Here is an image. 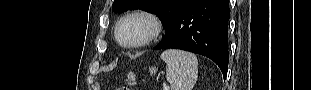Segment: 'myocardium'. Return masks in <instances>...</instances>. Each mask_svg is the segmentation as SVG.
Wrapping results in <instances>:
<instances>
[{"label":"myocardium","mask_w":311,"mask_h":90,"mask_svg":"<svg viewBox=\"0 0 311 90\" xmlns=\"http://www.w3.org/2000/svg\"><path fill=\"white\" fill-rule=\"evenodd\" d=\"M135 19L146 22L148 26L147 33L138 40L130 41V42L123 41L120 38V34H119L120 28L125 22L129 20H135ZM161 31H162L161 20L155 14L147 12V11H132L130 13L125 14L117 21L115 25V29H114V36H115L116 42L120 46L124 48H128V49H134V48L143 47V46H146L152 43L160 35Z\"/></svg>","instance_id":"obj_1"}]
</instances>
